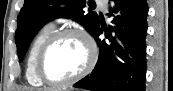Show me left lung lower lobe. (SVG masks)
I'll return each mask as SVG.
<instances>
[{"label":"left lung lower lobe","instance_id":"0a47b994","mask_svg":"<svg viewBox=\"0 0 173 91\" xmlns=\"http://www.w3.org/2000/svg\"><path fill=\"white\" fill-rule=\"evenodd\" d=\"M112 27L99 22L93 37L99 46L92 73L73 86L93 91H144L148 6L146 0H112ZM105 31L107 42L99 36Z\"/></svg>","mask_w":173,"mask_h":91}]
</instances>
